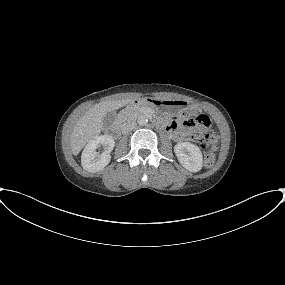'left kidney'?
<instances>
[{
  "label": "left kidney",
  "mask_w": 285,
  "mask_h": 285,
  "mask_svg": "<svg viewBox=\"0 0 285 285\" xmlns=\"http://www.w3.org/2000/svg\"><path fill=\"white\" fill-rule=\"evenodd\" d=\"M174 152L179 162L187 170L198 172L202 169V152L197 145L189 142H180L174 146Z\"/></svg>",
  "instance_id": "5707ae66"
}]
</instances>
